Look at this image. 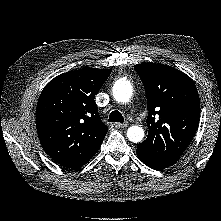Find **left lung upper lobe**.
Here are the masks:
<instances>
[{
    "mask_svg": "<svg viewBox=\"0 0 221 221\" xmlns=\"http://www.w3.org/2000/svg\"><path fill=\"white\" fill-rule=\"evenodd\" d=\"M147 96L146 140L138 148L149 155L176 163L192 141L200 116V101L193 80L161 64L134 66Z\"/></svg>",
    "mask_w": 221,
    "mask_h": 221,
    "instance_id": "left-lung-upper-lobe-1",
    "label": "left lung upper lobe"
}]
</instances>
